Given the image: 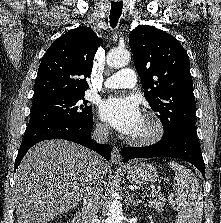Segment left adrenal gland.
<instances>
[{
	"mask_svg": "<svg viewBox=\"0 0 221 223\" xmlns=\"http://www.w3.org/2000/svg\"><path fill=\"white\" fill-rule=\"evenodd\" d=\"M128 199L131 206H138L142 203L140 199H134V196L132 194L128 196Z\"/></svg>",
	"mask_w": 221,
	"mask_h": 223,
	"instance_id": "a2214340",
	"label": "left adrenal gland"
}]
</instances>
